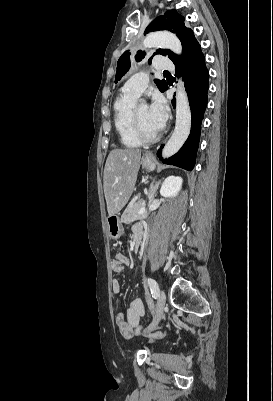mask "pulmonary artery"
I'll return each mask as SVG.
<instances>
[{"mask_svg":"<svg viewBox=\"0 0 273 401\" xmlns=\"http://www.w3.org/2000/svg\"><path fill=\"white\" fill-rule=\"evenodd\" d=\"M154 64L153 69L156 72H171L177 69V66L174 63L172 57H163L159 60H153ZM149 69H152V66H149ZM150 80L149 75H147V71L144 68L139 69L138 74H134L132 80H128L124 91L126 94L133 95L135 97L141 95L144 89L147 88Z\"/></svg>","mask_w":273,"mask_h":401,"instance_id":"obj_1","label":"pulmonary artery"}]
</instances>
